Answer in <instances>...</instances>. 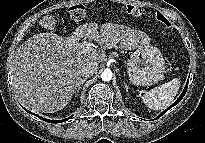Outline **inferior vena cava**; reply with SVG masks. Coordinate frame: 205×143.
Returning a JSON list of instances; mask_svg holds the SVG:
<instances>
[{
  "label": "inferior vena cava",
  "instance_id": "obj_1",
  "mask_svg": "<svg viewBox=\"0 0 205 143\" xmlns=\"http://www.w3.org/2000/svg\"><path fill=\"white\" fill-rule=\"evenodd\" d=\"M98 69L97 62H88L81 70V75L85 78L93 76Z\"/></svg>",
  "mask_w": 205,
  "mask_h": 143
}]
</instances>
